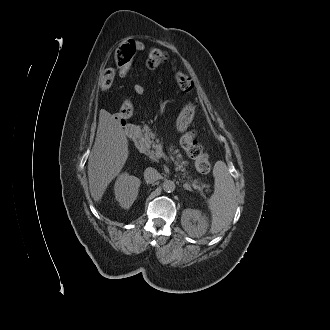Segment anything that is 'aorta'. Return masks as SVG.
Returning <instances> with one entry per match:
<instances>
[{
	"mask_svg": "<svg viewBox=\"0 0 330 330\" xmlns=\"http://www.w3.org/2000/svg\"><path fill=\"white\" fill-rule=\"evenodd\" d=\"M162 187H163V190L165 192H168V193L173 192L175 190V188H176L175 183L173 181H171V180L164 181Z\"/></svg>",
	"mask_w": 330,
	"mask_h": 330,
	"instance_id": "1",
	"label": "aorta"
}]
</instances>
